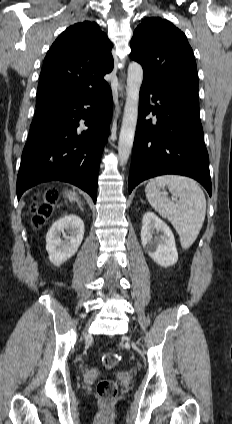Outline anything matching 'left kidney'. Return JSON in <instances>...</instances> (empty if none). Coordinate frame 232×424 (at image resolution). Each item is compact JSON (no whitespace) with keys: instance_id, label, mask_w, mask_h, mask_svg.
I'll use <instances>...</instances> for the list:
<instances>
[{"instance_id":"5707ae66","label":"left kidney","mask_w":232,"mask_h":424,"mask_svg":"<svg viewBox=\"0 0 232 424\" xmlns=\"http://www.w3.org/2000/svg\"><path fill=\"white\" fill-rule=\"evenodd\" d=\"M161 233L160 238L153 237ZM141 242L148 255L160 266L174 265L178 260L174 235L168 225L153 212H146L142 220Z\"/></svg>"}]
</instances>
